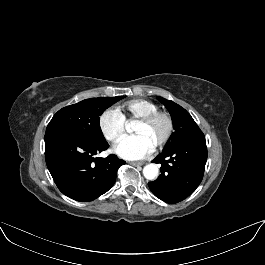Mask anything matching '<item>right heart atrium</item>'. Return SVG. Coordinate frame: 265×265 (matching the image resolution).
<instances>
[{
	"label": "right heart atrium",
	"mask_w": 265,
	"mask_h": 265,
	"mask_svg": "<svg viewBox=\"0 0 265 265\" xmlns=\"http://www.w3.org/2000/svg\"><path fill=\"white\" fill-rule=\"evenodd\" d=\"M98 126L106 140L116 143L124 134L125 120L117 110L108 108L100 114Z\"/></svg>",
	"instance_id": "obj_1"
}]
</instances>
